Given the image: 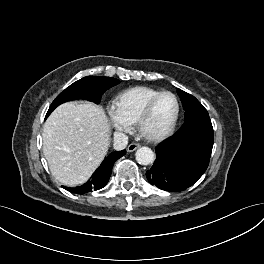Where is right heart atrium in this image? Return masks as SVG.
Masks as SVG:
<instances>
[{
    "label": "right heart atrium",
    "mask_w": 264,
    "mask_h": 264,
    "mask_svg": "<svg viewBox=\"0 0 264 264\" xmlns=\"http://www.w3.org/2000/svg\"><path fill=\"white\" fill-rule=\"evenodd\" d=\"M108 113L111 124L115 130L126 132L130 129V124L116 112L115 108H110Z\"/></svg>",
    "instance_id": "obj_1"
}]
</instances>
